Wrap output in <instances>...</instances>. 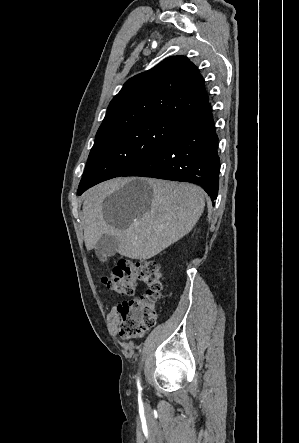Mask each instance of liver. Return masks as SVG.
I'll return each mask as SVG.
<instances>
[{
  "label": "liver",
  "mask_w": 299,
  "mask_h": 443,
  "mask_svg": "<svg viewBox=\"0 0 299 443\" xmlns=\"http://www.w3.org/2000/svg\"><path fill=\"white\" fill-rule=\"evenodd\" d=\"M204 206L202 190L188 183L152 178L103 182L85 194V246L92 250L102 236L111 235L119 241L120 255L150 259L187 235Z\"/></svg>",
  "instance_id": "obj_1"
}]
</instances>
